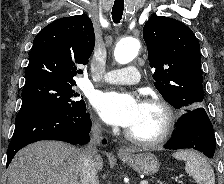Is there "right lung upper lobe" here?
<instances>
[{
	"label": "right lung upper lobe",
	"instance_id": "1",
	"mask_svg": "<svg viewBox=\"0 0 224 184\" xmlns=\"http://www.w3.org/2000/svg\"><path fill=\"white\" fill-rule=\"evenodd\" d=\"M95 45L93 25L87 15L65 17L44 27L34 38L25 84L34 81L74 83ZM76 83V82H75Z\"/></svg>",
	"mask_w": 224,
	"mask_h": 184
}]
</instances>
